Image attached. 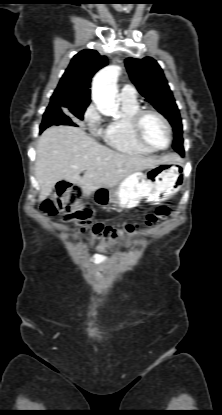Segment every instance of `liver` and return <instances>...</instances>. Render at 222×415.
Instances as JSON below:
<instances>
[{"instance_id":"liver-1","label":"liver","mask_w":222,"mask_h":415,"mask_svg":"<svg viewBox=\"0 0 222 415\" xmlns=\"http://www.w3.org/2000/svg\"><path fill=\"white\" fill-rule=\"evenodd\" d=\"M36 152L35 176L41 188L39 201L45 200L60 180L78 185L88 197L100 187H114L132 173L179 160L175 153L161 157L120 153L72 126L46 129L38 140ZM82 171H85L83 177L80 176Z\"/></svg>"}]
</instances>
